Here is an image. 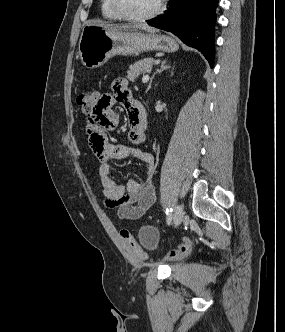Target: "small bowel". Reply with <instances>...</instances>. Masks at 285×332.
Listing matches in <instances>:
<instances>
[{"label": "small bowel", "mask_w": 285, "mask_h": 332, "mask_svg": "<svg viewBox=\"0 0 285 332\" xmlns=\"http://www.w3.org/2000/svg\"><path fill=\"white\" fill-rule=\"evenodd\" d=\"M112 90L113 94L96 96L92 111L85 112L88 139L95 156L101 160L99 177L106 205L116 208L120 219L136 220L155 203V186L150 178L143 182L130 178L125 185L117 183L112 176L110 162L134 158L146 167L147 174L150 175L154 167V157L151 153L135 147L145 141L147 122L143 107L132 99L125 79L116 78L112 83ZM118 103L127 111L128 139L131 146L113 144L101 131L117 127L119 115L113 111V107H117Z\"/></svg>", "instance_id": "c3829d8e"}]
</instances>
